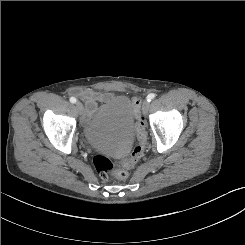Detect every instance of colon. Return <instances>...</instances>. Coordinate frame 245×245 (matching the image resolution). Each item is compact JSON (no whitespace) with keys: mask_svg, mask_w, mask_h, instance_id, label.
I'll use <instances>...</instances> for the list:
<instances>
[{"mask_svg":"<svg viewBox=\"0 0 245 245\" xmlns=\"http://www.w3.org/2000/svg\"><path fill=\"white\" fill-rule=\"evenodd\" d=\"M134 115L136 118L135 129L138 137V144L132 149L130 157L124 160L121 165L116 166L109 158L104 155L96 154L93 157L94 166L98 174L103 179L110 177L124 180L129 176V170L134 168L141 160L144 154V148L147 140V133L145 128V121L140 112L141 100L134 97L132 100Z\"/></svg>","mask_w":245,"mask_h":245,"instance_id":"1","label":"colon"}]
</instances>
